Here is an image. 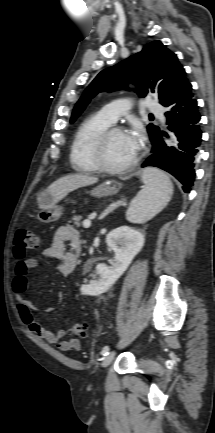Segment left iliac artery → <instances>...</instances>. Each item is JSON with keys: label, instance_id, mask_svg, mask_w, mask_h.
I'll use <instances>...</instances> for the list:
<instances>
[{"label": "left iliac artery", "instance_id": "left-iliac-artery-1", "mask_svg": "<svg viewBox=\"0 0 215 433\" xmlns=\"http://www.w3.org/2000/svg\"><path fill=\"white\" fill-rule=\"evenodd\" d=\"M108 353H109V347H108V346H105V347L102 349L101 354H102L103 356H106Z\"/></svg>", "mask_w": 215, "mask_h": 433}]
</instances>
